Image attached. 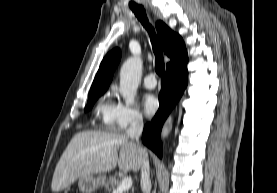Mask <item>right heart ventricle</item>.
I'll list each match as a JSON object with an SVG mask.
<instances>
[{"instance_id": "obj_1", "label": "right heart ventricle", "mask_w": 277, "mask_h": 193, "mask_svg": "<svg viewBox=\"0 0 277 193\" xmlns=\"http://www.w3.org/2000/svg\"><path fill=\"white\" fill-rule=\"evenodd\" d=\"M113 110H114V105L107 100L100 102L96 107V116L99 118L101 123L106 127H109L112 125Z\"/></svg>"}]
</instances>
